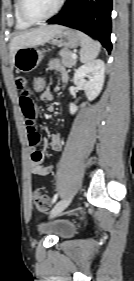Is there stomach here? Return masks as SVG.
Segmentation results:
<instances>
[{
	"label": "stomach",
	"mask_w": 134,
	"mask_h": 281,
	"mask_svg": "<svg viewBox=\"0 0 134 281\" xmlns=\"http://www.w3.org/2000/svg\"><path fill=\"white\" fill-rule=\"evenodd\" d=\"M50 43L65 48H75L81 44V33L67 27H62L50 39ZM42 59L43 52L36 47L20 48L14 55L13 65L17 71L28 73L36 69Z\"/></svg>",
	"instance_id": "obj_1"
}]
</instances>
